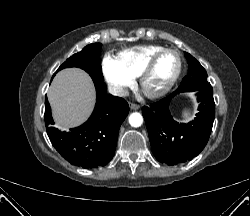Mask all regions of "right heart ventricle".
Listing matches in <instances>:
<instances>
[{
	"mask_svg": "<svg viewBox=\"0 0 250 216\" xmlns=\"http://www.w3.org/2000/svg\"><path fill=\"white\" fill-rule=\"evenodd\" d=\"M163 48V46L152 44L136 46L121 51L116 59L122 68L135 78L139 76L149 58Z\"/></svg>",
	"mask_w": 250,
	"mask_h": 216,
	"instance_id": "obj_1",
	"label": "right heart ventricle"
}]
</instances>
